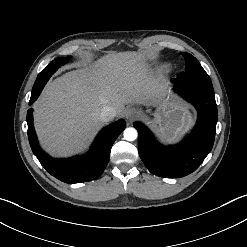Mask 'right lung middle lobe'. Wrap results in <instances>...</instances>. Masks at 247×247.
I'll list each match as a JSON object with an SVG mask.
<instances>
[{"label": "right lung middle lobe", "mask_w": 247, "mask_h": 247, "mask_svg": "<svg viewBox=\"0 0 247 247\" xmlns=\"http://www.w3.org/2000/svg\"><path fill=\"white\" fill-rule=\"evenodd\" d=\"M71 57H60V58H56L55 60H53L43 71H41L39 73V75L37 76V79L34 83L33 89H32V93L36 92L39 89H42L46 82L49 80V78L51 77V75L56 72V70L58 68H60L61 66H63L64 64H66L69 59Z\"/></svg>", "instance_id": "dd1d6c3e"}]
</instances>
